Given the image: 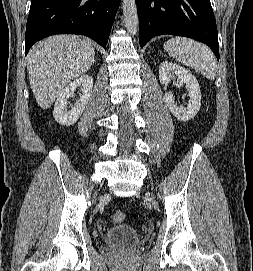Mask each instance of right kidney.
I'll return each mask as SVG.
<instances>
[{"instance_id":"right-kidney-1","label":"right kidney","mask_w":253,"mask_h":271,"mask_svg":"<svg viewBox=\"0 0 253 271\" xmlns=\"http://www.w3.org/2000/svg\"><path fill=\"white\" fill-rule=\"evenodd\" d=\"M78 87L81 88L82 95L80 99L75 102L74 106L71 107V110H68V99L74 95ZM92 88L93 78L90 75H83L67 85L56 99L53 111L55 120L64 126H70L76 123L89 101Z\"/></svg>"}]
</instances>
